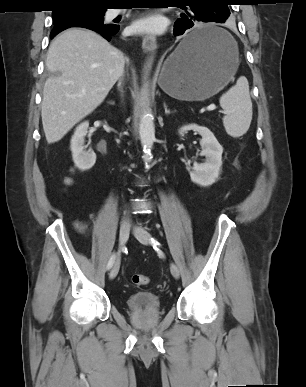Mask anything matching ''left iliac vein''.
I'll return each instance as SVG.
<instances>
[{
    "instance_id": "4c4485c4",
    "label": "left iliac vein",
    "mask_w": 306,
    "mask_h": 387,
    "mask_svg": "<svg viewBox=\"0 0 306 387\" xmlns=\"http://www.w3.org/2000/svg\"><path fill=\"white\" fill-rule=\"evenodd\" d=\"M133 233L135 237L142 243V244H149L150 243V234L142 227L136 226L133 230ZM170 271L174 278L178 279L180 276L179 268L176 264L171 263L170 265Z\"/></svg>"
}]
</instances>
